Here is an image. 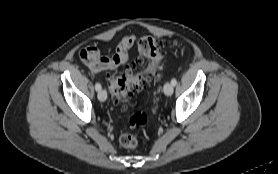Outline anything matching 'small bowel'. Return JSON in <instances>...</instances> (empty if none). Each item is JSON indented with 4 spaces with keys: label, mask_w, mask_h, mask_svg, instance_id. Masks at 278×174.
Returning <instances> with one entry per match:
<instances>
[{
    "label": "small bowel",
    "mask_w": 278,
    "mask_h": 174,
    "mask_svg": "<svg viewBox=\"0 0 278 174\" xmlns=\"http://www.w3.org/2000/svg\"><path fill=\"white\" fill-rule=\"evenodd\" d=\"M134 43L135 35L127 34L118 43L113 56L102 57L98 48L90 45L80 51V58L92 73L114 70L127 63Z\"/></svg>",
    "instance_id": "obj_1"
}]
</instances>
